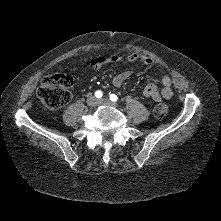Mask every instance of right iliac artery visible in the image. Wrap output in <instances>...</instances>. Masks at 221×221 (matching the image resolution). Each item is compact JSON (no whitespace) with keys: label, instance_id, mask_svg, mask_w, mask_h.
Masks as SVG:
<instances>
[{"label":"right iliac artery","instance_id":"obj_1","mask_svg":"<svg viewBox=\"0 0 221 221\" xmlns=\"http://www.w3.org/2000/svg\"><path fill=\"white\" fill-rule=\"evenodd\" d=\"M102 96H103L102 91L98 90V91L95 92V97L96 98H101Z\"/></svg>","mask_w":221,"mask_h":221}]
</instances>
